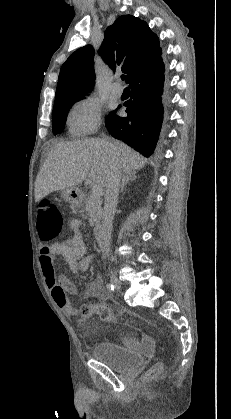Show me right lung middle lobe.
I'll use <instances>...</instances> for the list:
<instances>
[{
	"mask_svg": "<svg viewBox=\"0 0 231 419\" xmlns=\"http://www.w3.org/2000/svg\"><path fill=\"white\" fill-rule=\"evenodd\" d=\"M83 98L84 97L69 98L54 103V108L52 112V124L54 135L59 134L63 131L69 109L75 102Z\"/></svg>",
	"mask_w": 231,
	"mask_h": 419,
	"instance_id": "1",
	"label": "right lung middle lobe"
}]
</instances>
